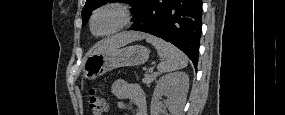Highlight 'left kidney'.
<instances>
[{"label":"left kidney","mask_w":285,"mask_h":115,"mask_svg":"<svg viewBox=\"0 0 285 115\" xmlns=\"http://www.w3.org/2000/svg\"><path fill=\"white\" fill-rule=\"evenodd\" d=\"M188 90L189 77L185 72H174L162 76L158 80L152 96L151 115H160L162 96L168 97L165 106L169 109L171 115H180L186 102Z\"/></svg>","instance_id":"obj_1"}]
</instances>
